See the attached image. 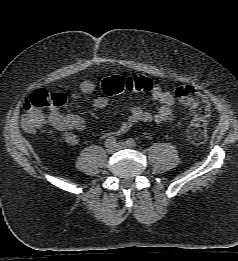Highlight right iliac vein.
<instances>
[{
    "instance_id": "1",
    "label": "right iliac vein",
    "mask_w": 238,
    "mask_h": 261,
    "mask_svg": "<svg viewBox=\"0 0 238 261\" xmlns=\"http://www.w3.org/2000/svg\"><path fill=\"white\" fill-rule=\"evenodd\" d=\"M116 151H117V147H116L115 145L110 146V147H107V152H108L109 154H113V153H115Z\"/></svg>"
}]
</instances>
